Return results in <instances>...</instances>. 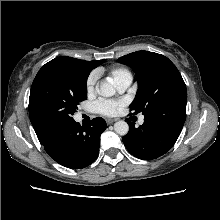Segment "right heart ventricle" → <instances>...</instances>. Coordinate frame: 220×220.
Masks as SVG:
<instances>
[{
  "label": "right heart ventricle",
  "instance_id": "1",
  "mask_svg": "<svg viewBox=\"0 0 220 220\" xmlns=\"http://www.w3.org/2000/svg\"><path fill=\"white\" fill-rule=\"evenodd\" d=\"M110 75L114 81V83L122 76H131V73L126 68L122 67H115L110 70Z\"/></svg>",
  "mask_w": 220,
  "mask_h": 220
}]
</instances>
